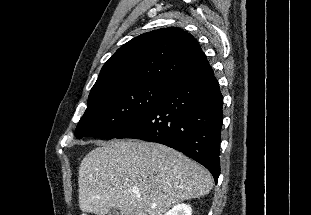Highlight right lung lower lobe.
<instances>
[{
	"mask_svg": "<svg viewBox=\"0 0 311 215\" xmlns=\"http://www.w3.org/2000/svg\"><path fill=\"white\" fill-rule=\"evenodd\" d=\"M223 96L211 66L181 75L167 84L159 103L115 138L157 142L205 166L217 182Z\"/></svg>",
	"mask_w": 311,
	"mask_h": 215,
	"instance_id": "right-lung-lower-lobe-1",
	"label": "right lung lower lobe"
}]
</instances>
